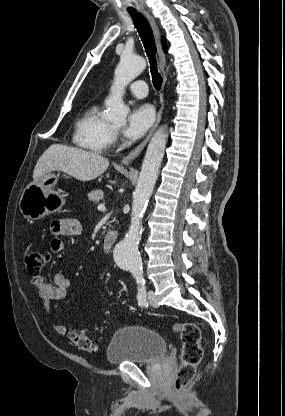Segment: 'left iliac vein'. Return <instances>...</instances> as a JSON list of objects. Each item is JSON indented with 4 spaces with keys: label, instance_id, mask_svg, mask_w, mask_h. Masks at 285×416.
I'll return each instance as SVG.
<instances>
[{
    "label": "left iliac vein",
    "instance_id": "left-iliac-vein-1",
    "mask_svg": "<svg viewBox=\"0 0 285 416\" xmlns=\"http://www.w3.org/2000/svg\"><path fill=\"white\" fill-rule=\"evenodd\" d=\"M148 299H149V302H150L151 306H153L154 308L159 307L157 298H156L153 290L148 291Z\"/></svg>",
    "mask_w": 285,
    "mask_h": 416
}]
</instances>
